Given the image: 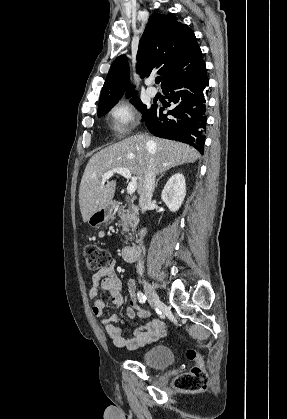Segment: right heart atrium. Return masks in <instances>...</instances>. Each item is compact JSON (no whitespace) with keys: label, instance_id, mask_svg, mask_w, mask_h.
<instances>
[{"label":"right heart atrium","instance_id":"right-heart-atrium-1","mask_svg":"<svg viewBox=\"0 0 287 419\" xmlns=\"http://www.w3.org/2000/svg\"><path fill=\"white\" fill-rule=\"evenodd\" d=\"M110 129L115 135L128 132L135 122V113L132 105L126 100L114 104L108 113Z\"/></svg>","mask_w":287,"mask_h":419}]
</instances>
